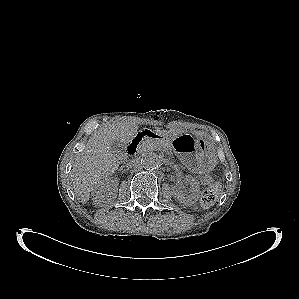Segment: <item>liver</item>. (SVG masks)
<instances>
[{"mask_svg":"<svg viewBox=\"0 0 299 299\" xmlns=\"http://www.w3.org/2000/svg\"><path fill=\"white\" fill-rule=\"evenodd\" d=\"M137 131L138 124L119 122L105 124L92 134L70 172L73 190L79 202L85 204L96 184L118 169L119 159L111 151V144L120 141L126 145L136 136ZM154 132L163 138H173L181 133L159 129Z\"/></svg>","mask_w":299,"mask_h":299,"instance_id":"6515ba94","label":"liver"}]
</instances>
